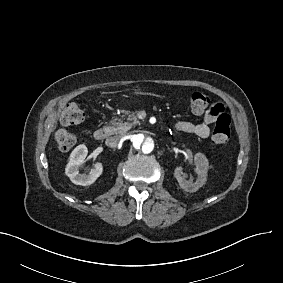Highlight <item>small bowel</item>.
I'll return each mask as SVG.
<instances>
[{
    "mask_svg": "<svg viewBox=\"0 0 283 283\" xmlns=\"http://www.w3.org/2000/svg\"><path fill=\"white\" fill-rule=\"evenodd\" d=\"M231 110L228 102L209 103L205 108L204 119L199 123L181 121L177 129L186 133L194 134L200 138H208L210 135V124L220 117V114H227Z\"/></svg>",
    "mask_w": 283,
    "mask_h": 283,
    "instance_id": "c3829d8e",
    "label": "small bowel"
}]
</instances>
